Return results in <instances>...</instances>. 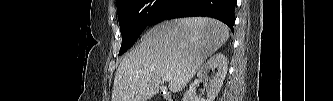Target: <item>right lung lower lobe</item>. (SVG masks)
Returning a JSON list of instances; mask_svg holds the SVG:
<instances>
[{"mask_svg": "<svg viewBox=\"0 0 333 101\" xmlns=\"http://www.w3.org/2000/svg\"><path fill=\"white\" fill-rule=\"evenodd\" d=\"M237 0H167L155 23L165 19L207 16L219 19L233 31Z\"/></svg>", "mask_w": 333, "mask_h": 101, "instance_id": "98d812e1", "label": "right lung lower lobe"}]
</instances>
